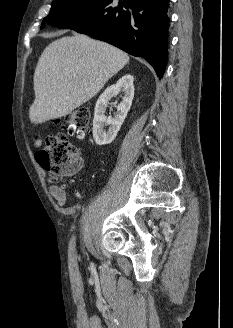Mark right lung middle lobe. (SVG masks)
Returning <instances> with one entry per match:
<instances>
[{"mask_svg": "<svg viewBox=\"0 0 233 328\" xmlns=\"http://www.w3.org/2000/svg\"><path fill=\"white\" fill-rule=\"evenodd\" d=\"M96 1L97 0H54L51 11L49 15L44 18L41 28H43L45 22L52 25L55 21L72 15Z\"/></svg>", "mask_w": 233, "mask_h": 328, "instance_id": "right-lung-middle-lobe-1", "label": "right lung middle lobe"}]
</instances>
